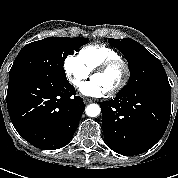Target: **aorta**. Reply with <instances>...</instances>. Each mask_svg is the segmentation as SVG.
Segmentation results:
<instances>
[{
  "instance_id": "obj_1",
  "label": "aorta",
  "mask_w": 178,
  "mask_h": 178,
  "mask_svg": "<svg viewBox=\"0 0 178 178\" xmlns=\"http://www.w3.org/2000/svg\"><path fill=\"white\" fill-rule=\"evenodd\" d=\"M85 112L89 117H96L100 114V107L98 104H89L86 107Z\"/></svg>"
}]
</instances>
